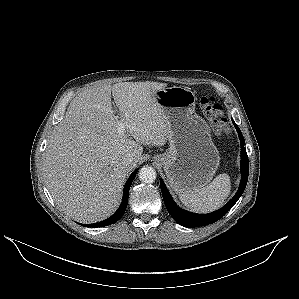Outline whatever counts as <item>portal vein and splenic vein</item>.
<instances>
[{
	"mask_svg": "<svg viewBox=\"0 0 299 299\" xmlns=\"http://www.w3.org/2000/svg\"><path fill=\"white\" fill-rule=\"evenodd\" d=\"M124 127H125V123H120L119 130H120V131H123V130H124Z\"/></svg>",
	"mask_w": 299,
	"mask_h": 299,
	"instance_id": "1",
	"label": "portal vein and splenic vein"
}]
</instances>
